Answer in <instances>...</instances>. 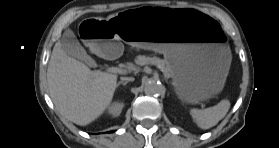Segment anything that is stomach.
<instances>
[{
	"instance_id": "obj_1",
	"label": "stomach",
	"mask_w": 279,
	"mask_h": 148,
	"mask_svg": "<svg viewBox=\"0 0 279 148\" xmlns=\"http://www.w3.org/2000/svg\"><path fill=\"white\" fill-rule=\"evenodd\" d=\"M77 38L84 48L108 59L121 56L123 44L162 52L176 94L191 104L222 90L232 56L226 29L193 9L139 8L107 20L89 16L78 25Z\"/></svg>"
}]
</instances>
